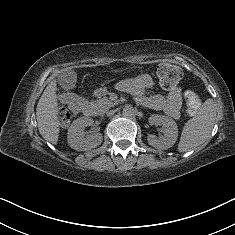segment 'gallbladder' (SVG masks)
Instances as JSON below:
<instances>
[{
    "mask_svg": "<svg viewBox=\"0 0 235 235\" xmlns=\"http://www.w3.org/2000/svg\"><path fill=\"white\" fill-rule=\"evenodd\" d=\"M66 87H71V85L70 84H66Z\"/></svg>",
    "mask_w": 235,
    "mask_h": 235,
    "instance_id": "gallbladder-1",
    "label": "gallbladder"
}]
</instances>
